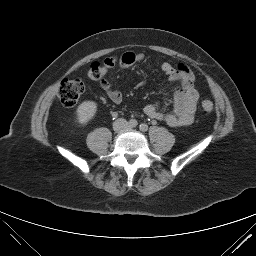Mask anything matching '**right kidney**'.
Returning a JSON list of instances; mask_svg holds the SVG:
<instances>
[{
	"mask_svg": "<svg viewBox=\"0 0 256 256\" xmlns=\"http://www.w3.org/2000/svg\"><path fill=\"white\" fill-rule=\"evenodd\" d=\"M97 111V104L94 101H83L76 110V120L81 125H86L92 120Z\"/></svg>",
	"mask_w": 256,
	"mask_h": 256,
	"instance_id": "ca27d5eb",
	"label": "right kidney"
}]
</instances>
